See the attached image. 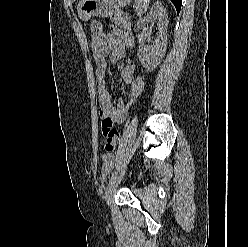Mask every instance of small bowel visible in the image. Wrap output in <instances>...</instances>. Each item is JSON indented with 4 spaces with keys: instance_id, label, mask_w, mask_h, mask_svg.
<instances>
[{
    "instance_id": "small-bowel-1",
    "label": "small bowel",
    "mask_w": 248,
    "mask_h": 247,
    "mask_svg": "<svg viewBox=\"0 0 248 247\" xmlns=\"http://www.w3.org/2000/svg\"><path fill=\"white\" fill-rule=\"evenodd\" d=\"M134 42L133 35L129 31L116 27L111 28L110 33H103L99 36L92 35L90 48L96 64L97 89L99 99V114L102 118V133L105 138V153L103 156V170L109 172L113 167V152L120 140L119 132L114 128L119 114L125 103V98H121L118 104H114L112 96L106 84L107 59L111 63H116L125 55V49ZM123 82L131 87L135 80L134 65L128 63L121 69Z\"/></svg>"
}]
</instances>
